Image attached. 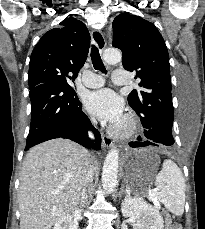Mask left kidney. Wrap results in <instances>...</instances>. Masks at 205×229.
<instances>
[{"mask_svg": "<svg viewBox=\"0 0 205 229\" xmlns=\"http://www.w3.org/2000/svg\"><path fill=\"white\" fill-rule=\"evenodd\" d=\"M124 217L135 219L134 229H163L164 221L156 207L144 201L141 197L127 196L121 204Z\"/></svg>", "mask_w": 205, "mask_h": 229, "instance_id": "obj_1", "label": "left kidney"}]
</instances>
